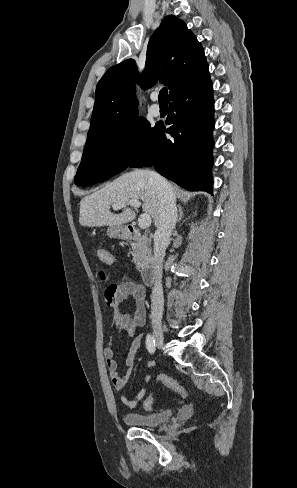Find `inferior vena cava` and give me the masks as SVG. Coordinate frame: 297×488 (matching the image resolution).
<instances>
[{
    "label": "inferior vena cava",
    "mask_w": 297,
    "mask_h": 488,
    "mask_svg": "<svg viewBox=\"0 0 297 488\" xmlns=\"http://www.w3.org/2000/svg\"><path fill=\"white\" fill-rule=\"evenodd\" d=\"M155 184L161 203L160 220L154 234V286L151 294V317L162 318L164 297L162 272L165 250L169 244L171 232L177 222L175 195L170 184L154 171H147Z\"/></svg>",
    "instance_id": "inferior-vena-cava-1"
}]
</instances>
